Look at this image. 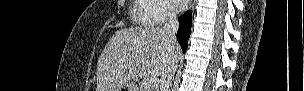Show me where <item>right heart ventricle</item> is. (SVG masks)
<instances>
[{"mask_svg":"<svg viewBox=\"0 0 304 91\" xmlns=\"http://www.w3.org/2000/svg\"><path fill=\"white\" fill-rule=\"evenodd\" d=\"M136 3V9H135V12L138 14V15H142V16H145L146 15V12L148 10V6L143 2V1H135Z\"/></svg>","mask_w":304,"mask_h":91,"instance_id":"right-heart-ventricle-1","label":"right heart ventricle"}]
</instances>
